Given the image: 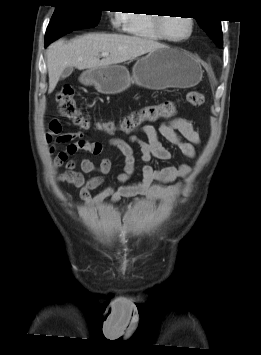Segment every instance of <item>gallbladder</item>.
Masks as SVG:
<instances>
[{
  "instance_id": "gallbladder-1",
  "label": "gallbladder",
  "mask_w": 261,
  "mask_h": 355,
  "mask_svg": "<svg viewBox=\"0 0 261 355\" xmlns=\"http://www.w3.org/2000/svg\"><path fill=\"white\" fill-rule=\"evenodd\" d=\"M72 72H73V67H71V66L66 67L61 74V78L65 79V78L69 77L72 74Z\"/></svg>"
}]
</instances>
